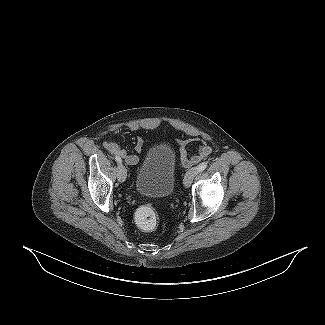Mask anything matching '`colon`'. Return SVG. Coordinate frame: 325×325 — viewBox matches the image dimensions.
Instances as JSON below:
<instances>
[{
	"instance_id": "colon-1",
	"label": "colon",
	"mask_w": 325,
	"mask_h": 325,
	"mask_svg": "<svg viewBox=\"0 0 325 325\" xmlns=\"http://www.w3.org/2000/svg\"><path fill=\"white\" fill-rule=\"evenodd\" d=\"M135 221L144 231H152L160 223V215L151 206H142L135 213Z\"/></svg>"
}]
</instances>
